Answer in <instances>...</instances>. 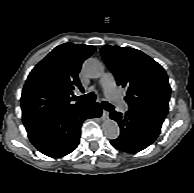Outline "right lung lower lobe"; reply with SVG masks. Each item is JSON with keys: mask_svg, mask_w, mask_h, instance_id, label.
<instances>
[{"mask_svg": "<svg viewBox=\"0 0 194 193\" xmlns=\"http://www.w3.org/2000/svg\"><path fill=\"white\" fill-rule=\"evenodd\" d=\"M98 103L80 105L57 116L24 124L31 143L43 154L62 157L79 144L80 128L84 120L100 117Z\"/></svg>", "mask_w": 194, "mask_h": 193, "instance_id": "98d812e1", "label": "right lung lower lobe"}]
</instances>
